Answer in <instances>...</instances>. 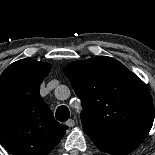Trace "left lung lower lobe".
<instances>
[{
	"label": "left lung lower lobe",
	"mask_w": 155,
	"mask_h": 155,
	"mask_svg": "<svg viewBox=\"0 0 155 155\" xmlns=\"http://www.w3.org/2000/svg\"><path fill=\"white\" fill-rule=\"evenodd\" d=\"M145 139L143 135H130L109 141H93L103 152L112 155H126L133 152Z\"/></svg>",
	"instance_id": "obj_1"
}]
</instances>
